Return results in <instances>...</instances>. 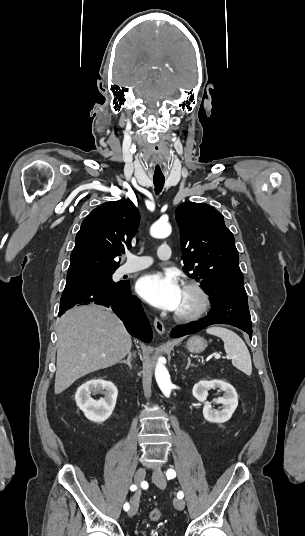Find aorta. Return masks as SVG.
<instances>
[{
  "mask_svg": "<svg viewBox=\"0 0 305 536\" xmlns=\"http://www.w3.org/2000/svg\"><path fill=\"white\" fill-rule=\"evenodd\" d=\"M171 231V225L161 221L155 222L150 228V234L154 238H165L171 234ZM164 363L165 358L159 357L155 367V378L164 396L169 397L173 385Z\"/></svg>",
  "mask_w": 305,
  "mask_h": 536,
  "instance_id": "1",
  "label": "aorta"
}]
</instances>
